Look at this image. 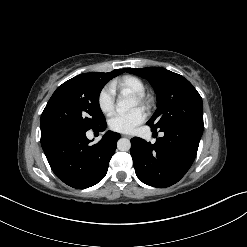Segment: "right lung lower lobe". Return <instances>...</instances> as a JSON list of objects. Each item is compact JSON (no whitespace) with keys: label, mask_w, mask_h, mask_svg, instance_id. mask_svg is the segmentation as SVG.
I'll list each match as a JSON object with an SVG mask.
<instances>
[{"label":"right lung lower lobe","mask_w":247,"mask_h":247,"mask_svg":"<svg viewBox=\"0 0 247 247\" xmlns=\"http://www.w3.org/2000/svg\"><path fill=\"white\" fill-rule=\"evenodd\" d=\"M107 124L94 128L104 131ZM86 131L53 130L41 133V145L55 175L65 184L84 189L100 182L107 173L120 134L108 131L91 144Z\"/></svg>","instance_id":"obj_1"}]
</instances>
